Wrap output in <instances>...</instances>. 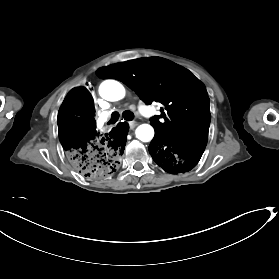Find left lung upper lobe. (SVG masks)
<instances>
[{"label":"left lung upper lobe","mask_w":279,"mask_h":279,"mask_svg":"<svg viewBox=\"0 0 279 279\" xmlns=\"http://www.w3.org/2000/svg\"><path fill=\"white\" fill-rule=\"evenodd\" d=\"M101 79L113 78L135 91L146 104L164 105L150 119L155 132L178 139L208 138L210 109L207 91L181 66L160 58H139L102 67Z\"/></svg>","instance_id":"1"}]
</instances>
